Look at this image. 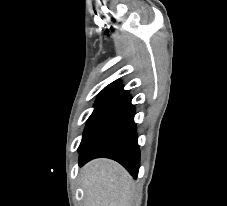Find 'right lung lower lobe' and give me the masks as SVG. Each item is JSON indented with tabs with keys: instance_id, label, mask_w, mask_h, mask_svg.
Wrapping results in <instances>:
<instances>
[{
	"instance_id": "1",
	"label": "right lung lower lobe",
	"mask_w": 227,
	"mask_h": 206,
	"mask_svg": "<svg viewBox=\"0 0 227 206\" xmlns=\"http://www.w3.org/2000/svg\"><path fill=\"white\" fill-rule=\"evenodd\" d=\"M131 99L127 93L100 118L79 146V166L94 158L106 157L119 162L137 178L140 150Z\"/></svg>"
}]
</instances>
